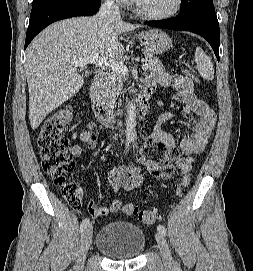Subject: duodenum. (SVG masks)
<instances>
[{"mask_svg": "<svg viewBox=\"0 0 253 271\" xmlns=\"http://www.w3.org/2000/svg\"><path fill=\"white\" fill-rule=\"evenodd\" d=\"M105 80L104 72H98L93 78L89 90L91 109L99 123L112 126L115 123L114 113L111 108L99 99V87ZM151 108V93L144 91L138 100L135 110L138 114H146Z\"/></svg>", "mask_w": 253, "mask_h": 271, "instance_id": "1", "label": "duodenum"}]
</instances>
